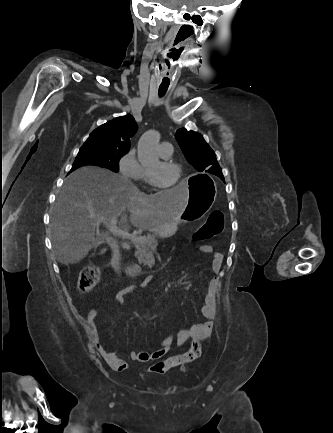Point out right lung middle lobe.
Listing matches in <instances>:
<instances>
[{"mask_svg": "<svg viewBox=\"0 0 333 433\" xmlns=\"http://www.w3.org/2000/svg\"><path fill=\"white\" fill-rule=\"evenodd\" d=\"M127 152V150L84 144L80 148L72 167L78 168L83 165H99L117 172L119 161Z\"/></svg>", "mask_w": 333, "mask_h": 433, "instance_id": "obj_1", "label": "right lung middle lobe"}]
</instances>
